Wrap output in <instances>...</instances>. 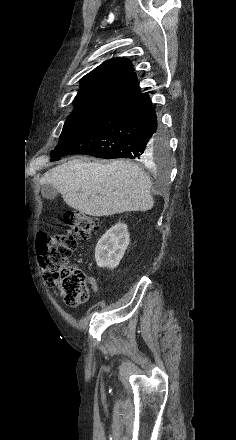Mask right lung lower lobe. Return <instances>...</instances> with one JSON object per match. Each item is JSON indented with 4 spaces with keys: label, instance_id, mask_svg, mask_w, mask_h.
<instances>
[{
    "label": "right lung lower lobe",
    "instance_id": "1",
    "mask_svg": "<svg viewBox=\"0 0 236 440\" xmlns=\"http://www.w3.org/2000/svg\"><path fill=\"white\" fill-rule=\"evenodd\" d=\"M160 136L154 105L147 92L141 93L53 150L51 160L70 154H86L103 159L129 158L147 162Z\"/></svg>",
    "mask_w": 236,
    "mask_h": 440
}]
</instances>
